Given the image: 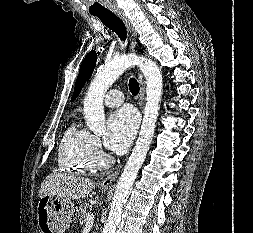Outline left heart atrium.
<instances>
[{"mask_svg":"<svg viewBox=\"0 0 253 233\" xmlns=\"http://www.w3.org/2000/svg\"><path fill=\"white\" fill-rule=\"evenodd\" d=\"M137 126L138 117L132 109L122 108L113 113L107 122L106 147L115 152L125 149L131 143Z\"/></svg>","mask_w":253,"mask_h":233,"instance_id":"39dd6f15","label":"left heart atrium"}]
</instances>
